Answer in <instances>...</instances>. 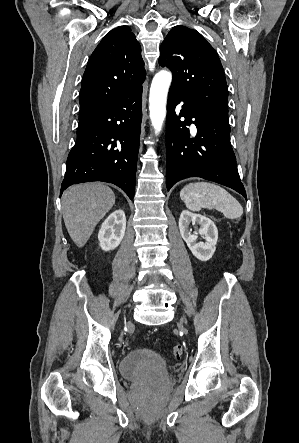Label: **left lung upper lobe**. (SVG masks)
Masks as SVG:
<instances>
[{
	"instance_id": "left-lung-upper-lobe-1",
	"label": "left lung upper lobe",
	"mask_w": 299,
	"mask_h": 443,
	"mask_svg": "<svg viewBox=\"0 0 299 443\" xmlns=\"http://www.w3.org/2000/svg\"><path fill=\"white\" fill-rule=\"evenodd\" d=\"M159 64L173 73L171 89L228 121L224 70L213 47L196 30L173 27L160 47Z\"/></svg>"
}]
</instances>
